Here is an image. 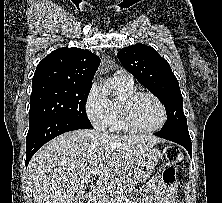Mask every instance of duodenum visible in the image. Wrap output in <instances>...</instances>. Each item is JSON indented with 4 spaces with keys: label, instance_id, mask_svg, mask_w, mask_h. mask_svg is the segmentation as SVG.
<instances>
[{
    "label": "duodenum",
    "instance_id": "410a0bca",
    "mask_svg": "<svg viewBox=\"0 0 222 203\" xmlns=\"http://www.w3.org/2000/svg\"><path fill=\"white\" fill-rule=\"evenodd\" d=\"M100 199H101V192L99 190H94L89 195L90 203H99Z\"/></svg>",
    "mask_w": 222,
    "mask_h": 203
}]
</instances>
